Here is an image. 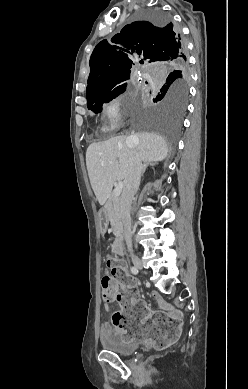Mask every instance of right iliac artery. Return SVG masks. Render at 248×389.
I'll list each match as a JSON object with an SVG mask.
<instances>
[{"mask_svg":"<svg viewBox=\"0 0 248 389\" xmlns=\"http://www.w3.org/2000/svg\"><path fill=\"white\" fill-rule=\"evenodd\" d=\"M131 272H132L133 274H137V273H138V269L135 268V267H131Z\"/></svg>","mask_w":248,"mask_h":389,"instance_id":"82829eb1","label":"right iliac artery"}]
</instances>
